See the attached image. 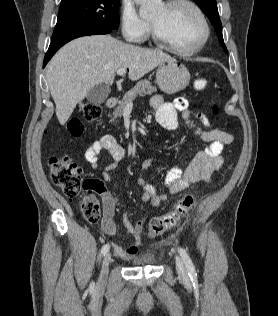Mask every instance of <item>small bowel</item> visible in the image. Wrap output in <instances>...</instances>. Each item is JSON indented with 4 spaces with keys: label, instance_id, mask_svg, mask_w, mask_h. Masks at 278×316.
I'll return each instance as SVG.
<instances>
[{
    "label": "small bowel",
    "instance_id": "obj_1",
    "mask_svg": "<svg viewBox=\"0 0 278 316\" xmlns=\"http://www.w3.org/2000/svg\"><path fill=\"white\" fill-rule=\"evenodd\" d=\"M151 105L155 109L157 122L167 130H175L178 127V114L182 115L185 124L193 130L194 134L207 146L198 150L192 157L188 165L182 169L173 166L165 176V185L171 194L181 192L191 184L207 181L211 175L220 169L223 164V153L233 142V136L223 130L212 127L207 116L194 109L187 99L177 98L174 102H165L159 95L152 97ZM106 150L112 157V162L104 169L102 178L105 182L112 179L111 173L118 168V164L125 158V149L110 134H104L92 142L85 150V160L93 169L99 167V156L101 151ZM154 163V158H147L143 161L142 170L149 169ZM143 190L142 200L153 207H158L167 200V194H159L155 187L148 183L142 176L137 180ZM100 194L103 197V215L101 219V231L108 236L116 234L114 222L115 200L104 188ZM123 226L134 239V247L137 249L141 244V233L144 221L131 222L129 213H124L122 217ZM114 251L121 256H130L129 253L118 245H113Z\"/></svg>",
    "mask_w": 278,
    "mask_h": 316
}]
</instances>
